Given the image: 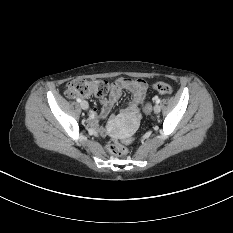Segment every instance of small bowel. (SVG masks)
<instances>
[{
	"label": "small bowel",
	"mask_w": 233,
	"mask_h": 233,
	"mask_svg": "<svg viewBox=\"0 0 233 233\" xmlns=\"http://www.w3.org/2000/svg\"><path fill=\"white\" fill-rule=\"evenodd\" d=\"M148 85L142 79H131L128 77H120L109 84L108 96L102 101V108L98 111L93 108L89 114L91 124L100 131L103 129L99 126V120L105 117L118 101L124 90L132 93V100L124 110V114L128 115L133 121L138 120L141 115V105L145 99Z\"/></svg>",
	"instance_id": "1"
}]
</instances>
